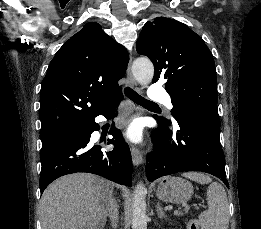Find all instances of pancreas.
<instances>
[{
	"instance_id": "pancreas-1",
	"label": "pancreas",
	"mask_w": 261,
	"mask_h": 229,
	"mask_svg": "<svg viewBox=\"0 0 261 229\" xmlns=\"http://www.w3.org/2000/svg\"><path fill=\"white\" fill-rule=\"evenodd\" d=\"M179 215H185V213H179Z\"/></svg>"
}]
</instances>
